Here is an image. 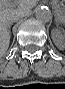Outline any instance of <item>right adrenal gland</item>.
I'll return each mask as SVG.
<instances>
[{
    "label": "right adrenal gland",
    "instance_id": "1",
    "mask_svg": "<svg viewBox=\"0 0 65 89\" xmlns=\"http://www.w3.org/2000/svg\"><path fill=\"white\" fill-rule=\"evenodd\" d=\"M8 31L11 33V25L8 26Z\"/></svg>",
    "mask_w": 65,
    "mask_h": 89
}]
</instances>
